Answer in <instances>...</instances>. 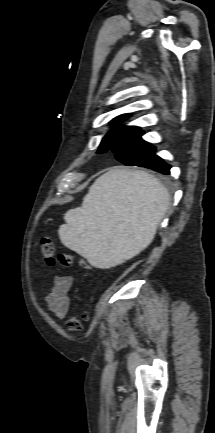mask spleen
I'll use <instances>...</instances> for the list:
<instances>
[{"label": "spleen", "mask_w": 215, "mask_h": 433, "mask_svg": "<svg viewBox=\"0 0 215 433\" xmlns=\"http://www.w3.org/2000/svg\"><path fill=\"white\" fill-rule=\"evenodd\" d=\"M168 205L157 178L115 167L95 181L81 207L66 212L59 237L92 266L110 268L151 243Z\"/></svg>", "instance_id": "3e777b00"}]
</instances>
